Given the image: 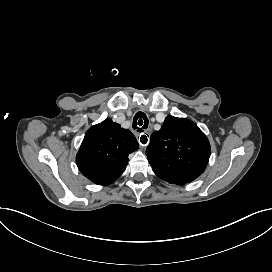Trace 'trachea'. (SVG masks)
Listing matches in <instances>:
<instances>
[{
    "label": "trachea",
    "instance_id": "obj_1",
    "mask_svg": "<svg viewBox=\"0 0 272 272\" xmlns=\"http://www.w3.org/2000/svg\"><path fill=\"white\" fill-rule=\"evenodd\" d=\"M148 127V118L142 112L136 114L133 119V129H138L139 132H142L143 129Z\"/></svg>",
    "mask_w": 272,
    "mask_h": 272
}]
</instances>
